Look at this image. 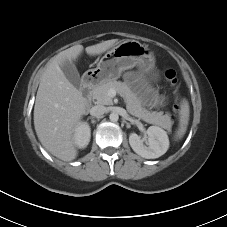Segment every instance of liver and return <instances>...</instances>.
<instances>
[{
    "label": "liver",
    "mask_w": 227,
    "mask_h": 227,
    "mask_svg": "<svg viewBox=\"0 0 227 227\" xmlns=\"http://www.w3.org/2000/svg\"><path fill=\"white\" fill-rule=\"evenodd\" d=\"M117 39L86 47L88 55L104 53ZM83 51L82 45L70 47L49 62L43 73L34 106V127L43 147L63 161H72L78 151L74 132L86 111L85 98L69 82L60 65L76 60Z\"/></svg>",
    "instance_id": "liver-1"
}]
</instances>
